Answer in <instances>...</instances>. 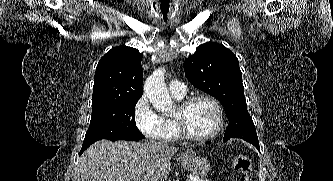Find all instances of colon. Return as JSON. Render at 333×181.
<instances>
[{
	"label": "colon",
	"mask_w": 333,
	"mask_h": 181,
	"mask_svg": "<svg viewBox=\"0 0 333 181\" xmlns=\"http://www.w3.org/2000/svg\"><path fill=\"white\" fill-rule=\"evenodd\" d=\"M232 164L235 171L240 176V181H252L251 161L245 155H237L232 159Z\"/></svg>",
	"instance_id": "colon-1"
}]
</instances>
